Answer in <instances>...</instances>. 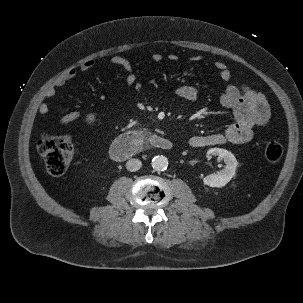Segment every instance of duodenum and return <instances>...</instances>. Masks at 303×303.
<instances>
[{
	"label": "duodenum",
	"instance_id": "duodenum-1",
	"mask_svg": "<svg viewBox=\"0 0 303 303\" xmlns=\"http://www.w3.org/2000/svg\"><path fill=\"white\" fill-rule=\"evenodd\" d=\"M168 151L173 147L172 142L157 134L142 131H130L119 135L110 147V155L114 160L122 161L138 153L144 146Z\"/></svg>",
	"mask_w": 303,
	"mask_h": 303
}]
</instances>
